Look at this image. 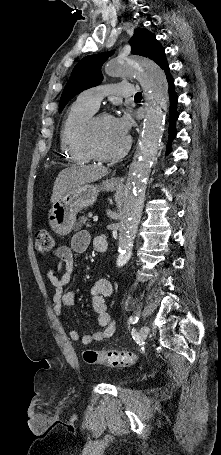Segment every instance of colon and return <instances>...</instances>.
I'll list each match as a JSON object with an SVG mask.
<instances>
[{"mask_svg":"<svg viewBox=\"0 0 221 455\" xmlns=\"http://www.w3.org/2000/svg\"><path fill=\"white\" fill-rule=\"evenodd\" d=\"M36 249L41 254H49L54 251V240L46 230H40L36 235ZM84 361L91 365L108 367H126L133 365L137 356L130 351H97L87 349L83 353Z\"/></svg>","mask_w":221,"mask_h":455,"instance_id":"obj_1","label":"colon"}]
</instances>
